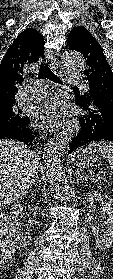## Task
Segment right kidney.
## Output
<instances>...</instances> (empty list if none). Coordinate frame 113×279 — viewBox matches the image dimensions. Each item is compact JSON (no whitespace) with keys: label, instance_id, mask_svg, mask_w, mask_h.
Wrapping results in <instances>:
<instances>
[{"label":"right kidney","instance_id":"obj_1","mask_svg":"<svg viewBox=\"0 0 113 279\" xmlns=\"http://www.w3.org/2000/svg\"><path fill=\"white\" fill-rule=\"evenodd\" d=\"M25 214L24 206L18 202L13 206L10 211L9 220L10 229L15 237V244L17 248H27L30 244L32 229L30 225H27L26 229L23 231L20 229V218Z\"/></svg>","mask_w":113,"mask_h":279}]
</instances>
